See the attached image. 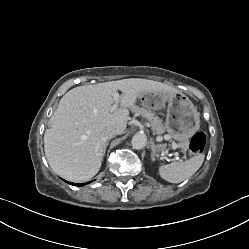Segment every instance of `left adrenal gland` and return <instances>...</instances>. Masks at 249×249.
<instances>
[{
  "mask_svg": "<svg viewBox=\"0 0 249 249\" xmlns=\"http://www.w3.org/2000/svg\"><path fill=\"white\" fill-rule=\"evenodd\" d=\"M151 144H152V153H151V159H152V161H155V153H156V149H155V145H154V143L153 142H151Z\"/></svg>",
  "mask_w": 249,
  "mask_h": 249,
  "instance_id": "a2214340",
  "label": "left adrenal gland"
}]
</instances>
